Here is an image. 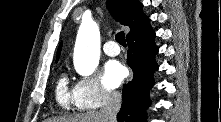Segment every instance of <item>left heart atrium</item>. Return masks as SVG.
<instances>
[{"instance_id": "left-heart-atrium-1", "label": "left heart atrium", "mask_w": 221, "mask_h": 122, "mask_svg": "<svg viewBox=\"0 0 221 122\" xmlns=\"http://www.w3.org/2000/svg\"><path fill=\"white\" fill-rule=\"evenodd\" d=\"M125 67L118 61L112 60L104 67L103 81L108 88H116L126 76Z\"/></svg>"}]
</instances>
